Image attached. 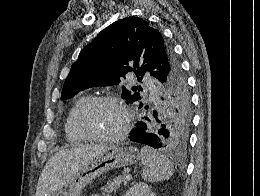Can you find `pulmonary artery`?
<instances>
[{
	"label": "pulmonary artery",
	"mask_w": 260,
	"mask_h": 196,
	"mask_svg": "<svg viewBox=\"0 0 260 196\" xmlns=\"http://www.w3.org/2000/svg\"><path fill=\"white\" fill-rule=\"evenodd\" d=\"M145 83H146V84H151V83H152V80H151V79H146V80H145Z\"/></svg>",
	"instance_id": "pulmonary-artery-1"
}]
</instances>
